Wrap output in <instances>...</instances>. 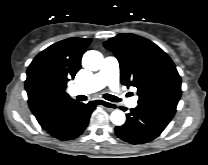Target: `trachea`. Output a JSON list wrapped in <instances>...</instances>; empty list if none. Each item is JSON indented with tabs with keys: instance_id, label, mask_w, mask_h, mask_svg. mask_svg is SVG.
<instances>
[{
	"instance_id": "3493384b",
	"label": "trachea",
	"mask_w": 208,
	"mask_h": 165,
	"mask_svg": "<svg viewBox=\"0 0 208 165\" xmlns=\"http://www.w3.org/2000/svg\"><path fill=\"white\" fill-rule=\"evenodd\" d=\"M103 97L109 101H112V102H120V99L117 98L116 96L114 95H110V94H104Z\"/></svg>"
}]
</instances>
